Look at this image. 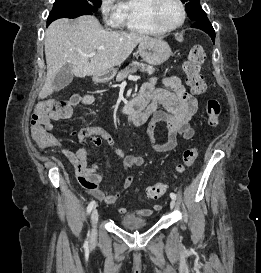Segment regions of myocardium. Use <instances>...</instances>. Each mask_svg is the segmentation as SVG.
<instances>
[{
  "label": "myocardium",
  "instance_id": "1",
  "mask_svg": "<svg viewBox=\"0 0 261 273\" xmlns=\"http://www.w3.org/2000/svg\"><path fill=\"white\" fill-rule=\"evenodd\" d=\"M164 2V0H153V3L150 6V20L152 21V23L159 28L161 31L163 32H172L177 30L178 28H180L186 19V9H185V5L181 0H175V2L178 4L180 11H181V20L178 24H176L175 26L172 27H168L165 26L160 18H159V10L162 6V3Z\"/></svg>",
  "mask_w": 261,
  "mask_h": 273
}]
</instances>
